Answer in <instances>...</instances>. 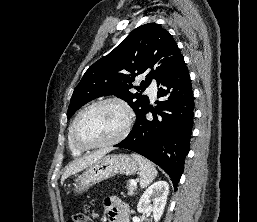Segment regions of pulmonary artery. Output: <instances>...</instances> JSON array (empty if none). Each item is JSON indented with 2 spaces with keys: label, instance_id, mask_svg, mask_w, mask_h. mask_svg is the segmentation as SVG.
Returning a JSON list of instances; mask_svg holds the SVG:
<instances>
[{
  "label": "pulmonary artery",
  "instance_id": "pulmonary-artery-1",
  "mask_svg": "<svg viewBox=\"0 0 257 222\" xmlns=\"http://www.w3.org/2000/svg\"><path fill=\"white\" fill-rule=\"evenodd\" d=\"M147 93L150 95L152 99L156 97L157 94V85L155 82H152L148 88H147Z\"/></svg>",
  "mask_w": 257,
  "mask_h": 222
}]
</instances>
